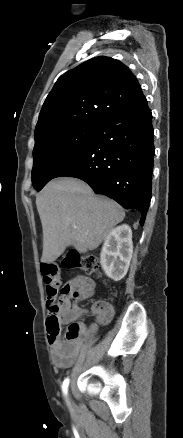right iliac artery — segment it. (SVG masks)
I'll use <instances>...</instances> for the list:
<instances>
[{
    "label": "right iliac artery",
    "instance_id": "right-iliac-artery-1",
    "mask_svg": "<svg viewBox=\"0 0 183 438\" xmlns=\"http://www.w3.org/2000/svg\"><path fill=\"white\" fill-rule=\"evenodd\" d=\"M68 386H69V378H66L62 385V390L65 396L67 395Z\"/></svg>",
    "mask_w": 183,
    "mask_h": 438
}]
</instances>
